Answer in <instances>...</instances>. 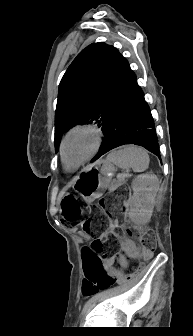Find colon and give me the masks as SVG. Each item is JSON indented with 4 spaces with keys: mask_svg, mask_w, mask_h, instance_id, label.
Listing matches in <instances>:
<instances>
[{
    "mask_svg": "<svg viewBox=\"0 0 193 336\" xmlns=\"http://www.w3.org/2000/svg\"><path fill=\"white\" fill-rule=\"evenodd\" d=\"M94 207L98 208L100 215L93 213L91 207L82 203L75 195L65 196L62 202V212L67 225L75 226L81 222L83 231L95 237L84 256L86 281L93 288L104 290L114 284L129 280L109 274L103 267L104 259L114 255L118 250L119 240L112 229L120 225L125 208L114 199L106 201L104 198L99 199ZM127 231L133 234V229ZM139 240L144 257L152 256L157 247L154 232L142 231Z\"/></svg>",
    "mask_w": 193,
    "mask_h": 336,
    "instance_id": "colon-1",
    "label": "colon"
}]
</instances>
